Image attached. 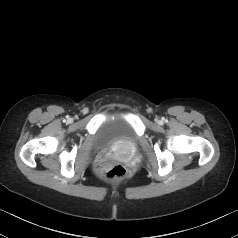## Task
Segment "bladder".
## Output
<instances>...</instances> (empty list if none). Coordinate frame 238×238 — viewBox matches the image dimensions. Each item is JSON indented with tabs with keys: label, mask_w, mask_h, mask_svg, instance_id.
<instances>
[{
	"label": "bladder",
	"mask_w": 238,
	"mask_h": 238,
	"mask_svg": "<svg viewBox=\"0 0 238 238\" xmlns=\"http://www.w3.org/2000/svg\"><path fill=\"white\" fill-rule=\"evenodd\" d=\"M137 135L121 109L113 110L100 124L95 134V145L100 149L134 143Z\"/></svg>",
	"instance_id": "31cf9c89"
}]
</instances>
